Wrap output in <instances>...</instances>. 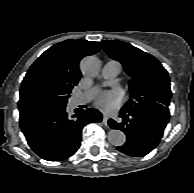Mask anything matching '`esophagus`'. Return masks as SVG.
<instances>
[{"label": "esophagus", "instance_id": "34e87169", "mask_svg": "<svg viewBox=\"0 0 194 193\" xmlns=\"http://www.w3.org/2000/svg\"><path fill=\"white\" fill-rule=\"evenodd\" d=\"M108 116L107 115H103V123L105 124V125H107V123H108Z\"/></svg>", "mask_w": 194, "mask_h": 193}]
</instances>
